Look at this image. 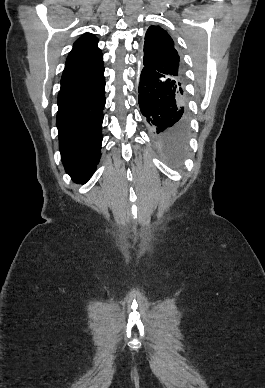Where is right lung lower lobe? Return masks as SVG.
Returning <instances> with one entry per match:
<instances>
[{
	"label": "right lung lower lobe",
	"instance_id": "98d812e1",
	"mask_svg": "<svg viewBox=\"0 0 265 388\" xmlns=\"http://www.w3.org/2000/svg\"><path fill=\"white\" fill-rule=\"evenodd\" d=\"M57 103L61 160L74 182L86 183L101 156L104 72L87 81L61 87Z\"/></svg>",
	"mask_w": 265,
	"mask_h": 388
}]
</instances>
